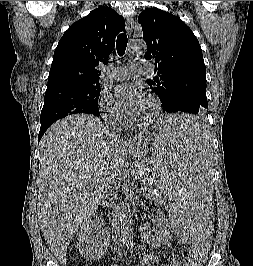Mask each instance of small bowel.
<instances>
[{"mask_svg": "<svg viewBox=\"0 0 253 266\" xmlns=\"http://www.w3.org/2000/svg\"><path fill=\"white\" fill-rule=\"evenodd\" d=\"M145 262L147 264L153 263L156 266H180V263H179V261L177 259L173 258V259H171V260H169V261L164 263V262L160 261L158 258H156L154 255H151V254L147 255L145 257ZM111 266H118V265L113 264Z\"/></svg>", "mask_w": 253, "mask_h": 266, "instance_id": "small-bowel-1", "label": "small bowel"}]
</instances>
